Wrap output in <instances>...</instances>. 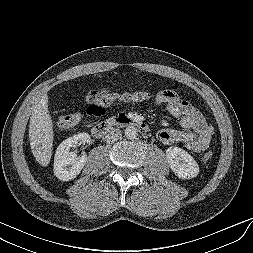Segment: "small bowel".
I'll list each match as a JSON object with an SVG mask.
<instances>
[{"label": "small bowel", "mask_w": 253, "mask_h": 253, "mask_svg": "<svg viewBox=\"0 0 253 253\" xmlns=\"http://www.w3.org/2000/svg\"><path fill=\"white\" fill-rule=\"evenodd\" d=\"M92 100V95L87 96ZM155 103L165 106L167 111L179 122L185 130L164 128L157 132V139L163 144L182 142L194 153L205 150L213 134V127L209 125L201 112L186 99L173 90L159 91L155 96Z\"/></svg>", "instance_id": "small-bowel-1"}]
</instances>
